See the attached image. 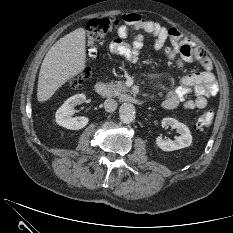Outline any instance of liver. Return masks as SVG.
<instances>
[{
	"label": "liver",
	"instance_id": "1",
	"mask_svg": "<svg viewBox=\"0 0 233 233\" xmlns=\"http://www.w3.org/2000/svg\"><path fill=\"white\" fill-rule=\"evenodd\" d=\"M85 38V29L78 28L58 40L47 52L38 78L39 102L49 100L62 85L84 70Z\"/></svg>",
	"mask_w": 233,
	"mask_h": 233
}]
</instances>
